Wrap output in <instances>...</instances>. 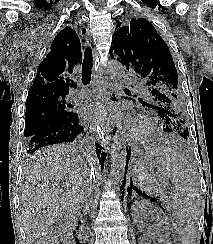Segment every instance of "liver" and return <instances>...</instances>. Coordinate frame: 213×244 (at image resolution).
Masks as SVG:
<instances>
[{"label":"liver","mask_w":213,"mask_h":244,"mask_svg":"<svg viewBox=\"0 0 213 244\" xmlns=\"http://www.w3.org/2000/svg\"><path fill=\"white\" fill-rule=\"evenodd\" d=\"M93 158L75 145L38 150L24 167L20 207L27 244L62 219H74L88 187Z\"/></svg>","instance_id":"obj_1"}]
</instances>
